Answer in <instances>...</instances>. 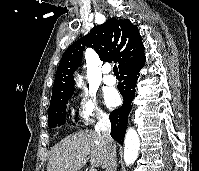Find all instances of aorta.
I'll use <instances>...</instances> for the list:
<instances>
[{
    "mask_svg": "<svg viewBox=\"0 0 199 171\" xmlns=\"http://www.w3.org/2000/svg\"><path fill=\"white\" fill-rule=\"evenodd\" d=\"M81 84L79 80L78 85ZM140 148V140L137 132L133 128H129L125 136V147H124V161L126 165L134 163L138 157Z\"/></svg>",
    "mask_w": 199,
    "mask_h": 171,
    "instance_id": "1",
    "label": "aorta"
}]
</instances>
